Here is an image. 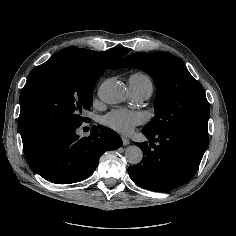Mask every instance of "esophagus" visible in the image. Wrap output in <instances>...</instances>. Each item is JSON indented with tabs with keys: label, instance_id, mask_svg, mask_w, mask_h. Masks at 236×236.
<instances>
[{
	"label": "esophagus",
	"instance_id": "esophagus-1",
	"mask_svg": "<svg viewBox=\"0 0 236 236\" xmlns=\"http://www.w3.org/2000/svg\"><path fill=\"white\" fill-rule=\"evenodd\" d=\"M122 141H123V145H129L130 144V139L125 137V136H122Z\"/></svg>",
	"mask_w": 236,
	"mask_h": 236
}]
</instances>
